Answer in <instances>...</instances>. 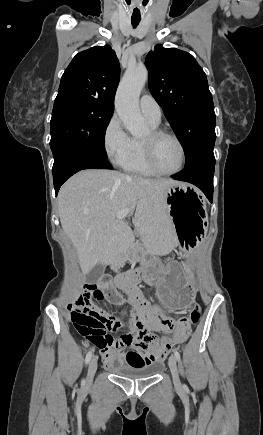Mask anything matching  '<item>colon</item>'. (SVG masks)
Returning <instances> with one entry per match:
<instances>
[{
    "instance_id": "obj_1",
    "label": "colon",
    "mask_w": 263,
    "mask_h": 435,
    "mask_svg": "<svg viewBox=\"0 0 263 435\" xmlns=\"http://www.w3.org/2000/svg\"><path fill=\"white\" fill-rule=\"evenodd\" d=\"M88 296L95 300L105 299L114 301L118 295L112 288L110 277H102L100 284L87 287ZM201 315V306L194 304L185 314L177 316L176 321H191L196 324ZM72 320L76 330L89 342L94 344L95 350H164V339L158 338L149 328H126L116 338L106 333L104 318L98 312H90L80 308L72 309ZM190 335V330H184L178 335L177 342H184Z\"/></svg>"
}]
</instances>
